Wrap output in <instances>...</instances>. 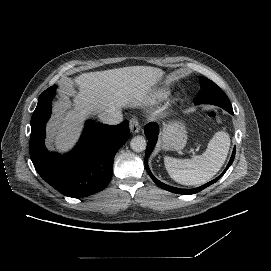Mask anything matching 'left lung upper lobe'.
Instances as JSON below:
<instances>
[{"label": "left lung upper lobe", "instance_id": "left-lung-upper-lobe-1", "mask_svg": "<svg viewBox=\"0 0 271 271\" xmlns=\"http://www.w3.org/2000/svg\"><path fill=\"white\" fill-rule=\"evenodd\" d=\"M201 90L197 94L195 104H212L225 110H232L231 103L223 90L213 81L199 76Z\"/></svg>", "mask_w": 271, "mask_h": 271}]
</instances>
